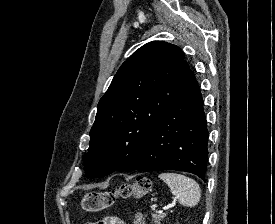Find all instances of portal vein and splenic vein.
<instances>
[{"label":"portal vein and splenic vein","instance_id":"obj_1","mask_svg":"<svg viewBox=\"0 0 275 224\" xmlns=\"http://www.w3.org/2000/svg\"><path fill=\"white\" fill-rule=\"evenodd\" d=\"M169 206L164 207L162 210H159L158 213H163V211L168 210Z\"/></svg>","mask_w":275,"mask_h":224}]
</instances>
